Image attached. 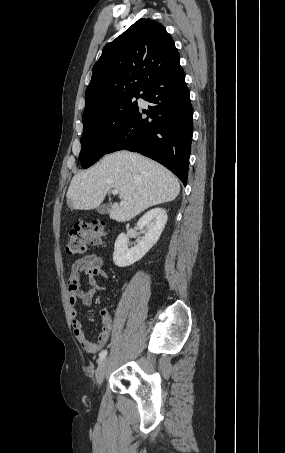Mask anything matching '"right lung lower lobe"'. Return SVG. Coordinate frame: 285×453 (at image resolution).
Returning <instances> with one entry per match:
<instances>
[{"label":"right lung lower lobe","instance_id":"1","mask_svg":"<svg viewBox=\"0 0 285 453\" xmlns=\"http://www.w3.org/2000/svg\"><path fill=\"white\" fill-rule=\"evenodd\" d=\"M140 95L153 104L146 113L149 117L138 109L108 153L139 152L171 170L186 186L193 110L180 64L151 79Z\"/></svg>","mask_w":285,"mask_h":453}]
</instances>
